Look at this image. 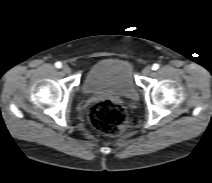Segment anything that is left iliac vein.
<instances>
[{"label":"left iliac vein","mask_w":212,"mask_h":183,"mask_svg":"<svg viewBox=\"0 0 212 183\" xmlns=\"http://www.w3.org/2000/svg\"><path fill=\"white\" fill-rule=\"evenodd\" d=\"M142 73H143V75H145V76H149V75L152 73V68L149 67V66H147V67H145V68L143 69Z\"/></svg>","instance_id":"4c4485c4"}]
</instances>
